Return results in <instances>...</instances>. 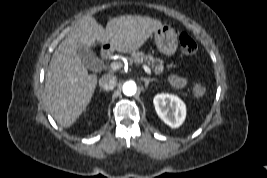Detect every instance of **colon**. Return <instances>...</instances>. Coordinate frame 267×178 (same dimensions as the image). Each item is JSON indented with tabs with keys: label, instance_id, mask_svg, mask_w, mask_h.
<instances>
[{
	"label": "colon",
	"instance_id": "obj_1",
	"mask_svg": "<svg viewBox=\"0 0 267 178\" xmlns=\"http://www.w3.org/2000/svg\"><path fill=\"white\" fill-rule=\"evenodd\" d=\"M181 45L183 50L187 54H194L196 52V44L195 42L189 38L187 35H182L180 38Z\"/></svg>",
	"mask_w": 267,
	"mask_h": 178
}]
</instances>
